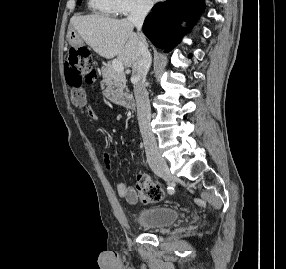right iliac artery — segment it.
Segmentation results:
<instances>
[{
  "label": "right iliac artery",
  "instance_id": "1",
  "mask_svg": "<svg viewBox=\"0 0 286 269\" xmlns=\"http://www.w3.org/2000/svg\"><path fill=\"white\" fill-rule=\"evenodd\" d=\"M167 189H168V192L171 193L173 188L168 187Z\"/></svg>",
  "mask_w": 286,
  "mask_h": 269
}]
</instances>
